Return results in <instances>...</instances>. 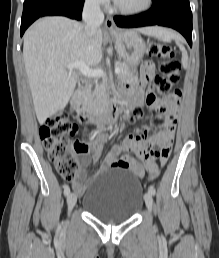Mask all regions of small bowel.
Here are the masks:
<instances>
[{
    "instance_id": "c3829d8e",
    "label": "small bowel",
    "mask_w": 219,
    "mask_h": 258,
    "mask_svg": "<svg viewBox=\"0 0 219 258\" xmlns=\"http://www.w3.org/2000/svg\"><path fill=\"white\" fill-rule=\"evenodd\" d=\"M155 63L146 61L141 67V84L149 81L155 74ZM121 94L127 99L130 107L135 108L141 104L140 91L135 88L121 90ZM148 106L157 112L162 120L161 130L152 139H147L146 131L140 134H130L118 145H114L101 166V171L109 168H125L141 177L161 175V170H156V163L162 165L168 160L174 139L177 113L179 108V96L175 93L164 99L152 97L147 101ZM128 114V113H126ZM145 136L144 139L142 136ZM107 135L100 133L95 139L78 142L80 169L72 185L77 194H82L86 188V167L92 162L96 163L101 155L103 144L107 141ZM157 145V148L153 146ZM134 155L140 157L143 163ZM147 169V170H146ZM154 169V170H151Z\"/></svg>"
}]
</instances>
